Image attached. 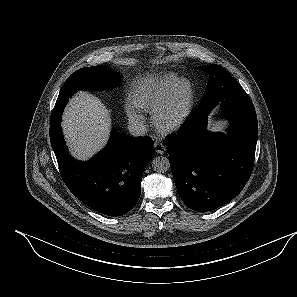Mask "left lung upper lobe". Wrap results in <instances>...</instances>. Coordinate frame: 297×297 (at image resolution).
<instances>
[{
	"instance_id": "obj_1",
	"label": "left lung upper lobe",
	"mask_w": 297,
	"mask_h": 297,
	"mask_svg": "<svg viewBox=\"0 0 297 297\" xmlns=\"http://www.w3.org/2000/svg\"><path fill=\"white\" fill-rule=\"evenodd\" d=\"M209 75L201 103L197 110L206 106L216 105L224 99H246L249 96L232 78V76L220 65H205L198 68Z\"/></svg>"
}]
</instances>
